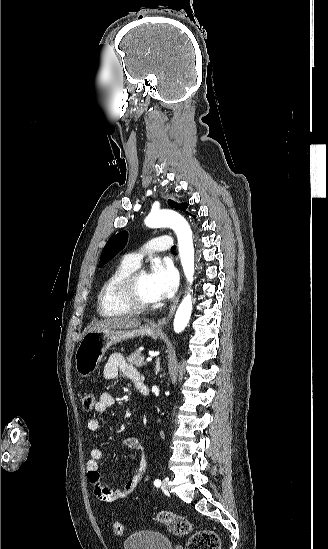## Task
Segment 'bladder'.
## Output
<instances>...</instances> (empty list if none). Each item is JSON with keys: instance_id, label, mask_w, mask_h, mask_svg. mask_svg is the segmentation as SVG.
<instances>
[{"instance_id": "31cf9c89", "label": "bladder", "mask_w": 328, "mask_h": 549, "mask_svg": "<svg viewBox=\"0 0 328 549\" xmlns=\"http://www.w3.org/2000/svg\"><path fill=\"white\" fill-rule=\"evenodd\" d=\"M124 549H173L165 534L144 530L126 536Z\"/></svg>"}]
</instances>
